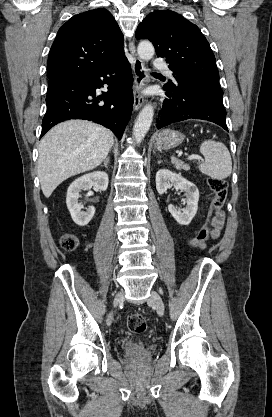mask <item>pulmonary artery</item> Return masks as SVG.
Here are the masks:
<instances>
[{"label": "pulmonary artery", "instance_id": "obj_1", "mask_svg": "<svg viewBox=\"0 0 272 417\" xmlns=\"http://www.w3.org/2000/svg\"><path fill=\"white\" fill-rule=\"evenodd\" d=\"M154 66H155V68H157V69L167 70V72H168L169 74H171V71H169V70L167 69V65H166V63H165L164 61L160 60V59H156V60L154 61Z\"/></svg>", "mask_w": 272, "mask_h": 417}]
</instances>
